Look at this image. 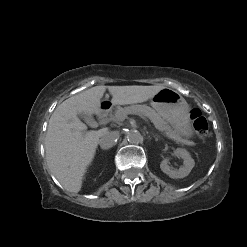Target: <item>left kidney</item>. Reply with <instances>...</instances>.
Wrapping results in <instances>:
<instances>
[{
    "label": "left kidney",
    "instance_id": "1",
    "mask_svg": "<svg viewBox=\"0 0 247 247\" xmlns=\"http://www.w3.org/2000/svg\"><path fill=\"white\" fill-rule=\"evenodd\" d=\"M174 154L183 159V166H181L179 169H172L168 164L169 158H164L160 163L161 170L173 179L184 178L188 176L195 165V162L190 156L189 152L183 148H177Z\"/></svg>",
    "mask_w": 247,
    "mask_h": 247
}]
</instances>
